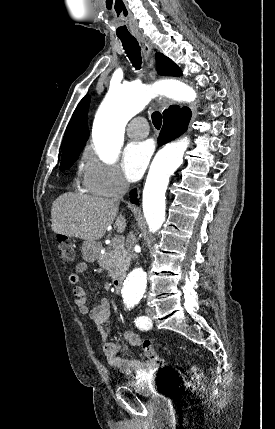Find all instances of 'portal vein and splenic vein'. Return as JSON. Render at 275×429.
Returning a JSON list of instances; mask_svg holds the SVG:
<instances>
[{
    "mask_svg": "<svg viewBox=\"0 0 275 429\" xmlns=\"http://www.w3.org/2000/svg\"><path fill=\"white\" fill-rule=\"evenodd\" d=\"M116 241H120L119 239H115V240H113V242H116Z\"/></svg>",
    "mask_w": 275,
    "mask_h": 429,
    "instance_id": "portal-vein-and-splenic-vein-1",
    "label": "portal vein and splenic vein"
}]
</instances>
